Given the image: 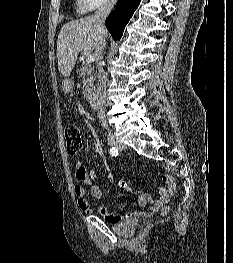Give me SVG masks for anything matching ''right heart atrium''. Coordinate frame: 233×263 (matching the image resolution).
Returning a JSON list of instances; mask_svg holds the SVG:
<instances>
[{
    "label": "right heart atrium",
    "mask_w": 233,
    "mask_h": 263,
    "mask_svg": "<svg viewBox=\"0 0 233 263\" xmlns=\"http://www.w3.org/2000/svg\"><path fill=\"white\" fill-rule=\"evenodd\" d=\"M116 0H77L78 9L88 12L100 6L113 5Z\"/></svg>",
    "instance_id": "right-heart-atrium-1"
}]
</instances>
